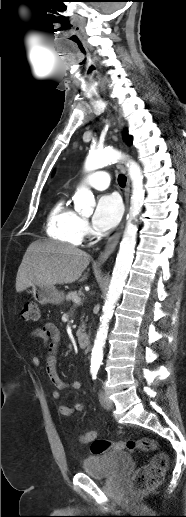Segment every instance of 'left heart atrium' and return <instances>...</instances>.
Instances as JSON below:
<instances>
[{"label": "left heart atrium", "instance_id": "left-heart-atrium-1", "mask_svg": "<svg viewBox=\"0 0 186 517\" xmlns=\"http://www.w3.org/2000/svg\"><path fill=\"white\" fill-rule=\"evenodd\" d=\"M123 207L120 198L115 194L103 195L98 199L92 218L94 227L99 231L112 229L120 220Z\"/></svg>", "mask_w": 186, "mask_h": 517}]
</instances>
